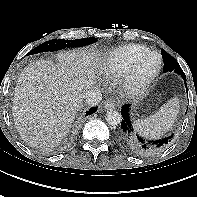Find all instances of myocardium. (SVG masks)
<instances>
[{
    "label": "myocardium",
    "mask_w": 197,
    "mask_h": 197,
    "mask_svg": "<svg viewBox=\"0 0 197 197\" xmlns=\"http://www.w3.org/2000/svg\"><path fill=\"white\" fill-rule=\"evenodd\" d=\"M156 56L158 58V66L156 70L146 78H139L137 75V69L139 64L149 56ZM162 69V57L156 51H148L139 56L133 64L130 66L128 71L122 77L120 82V88L124 95L128 97H138L144 95L150 86L153 84Z\"/></svg>",
    "instance_id": "obj_1"
}]
</instances>
